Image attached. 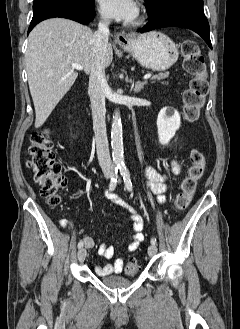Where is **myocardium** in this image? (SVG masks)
<instances>
[{
  "mask_svg": "<svg viewBox=\"0 0 240 329\" xmlns=\"http://www.w3.org/2000/svg\"><path fill=\"white\" fill-rule=\"evenodd\" d=\"M141 21H142V18L140 17V18L135 22V24H139Z\"/></svg>",
  "mask_w": 240,
  "mask_h": 329,
  "instance_id": "1",
  "label": "myocardium"
}]
</instances>
